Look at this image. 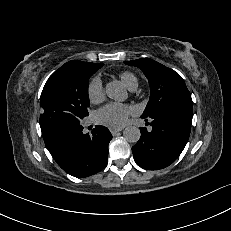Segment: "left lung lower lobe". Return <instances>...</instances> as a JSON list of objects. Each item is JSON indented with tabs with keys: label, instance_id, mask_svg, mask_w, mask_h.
<instances>
[{
	"label": "left lung lower lobe",
	"instance_id": "obj_1",
	"mask_svg": "<svg viewBox=\"0 0 231 231\" xmlns=\"http://www.w3.org/2000/svg\"><path fill=\"white\" fill-rule=\"evenodd\" d=\"M192 113V108L169 106L149 117H142L145 121L152 119V130L140 128L141 137L132 147L135 162L148 170H158L172 164L188 141Z\"/></svg>",
	"mask_w": 231,
	"mask_h": 231
}]
</instances>
